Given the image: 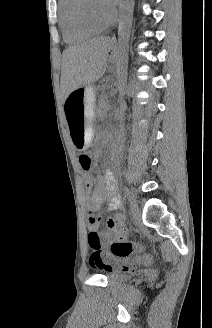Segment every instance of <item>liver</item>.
Segmentation results:
<instances>
[{"label": "liver", "mask_w": 212, "mask_h": 328, "mask_svg": "<svg viewBox=\"0 0 212 328\" xmlns=\"http://www.w3.org/2000/svg\"><path fill=\"white\" fill-rule=\"evenodd\" d=\"M110 45V39L99 37L65 50L61 74L64 100L75 89L91 85L102 78Z\"/></svg>", "instance_id": "6515ba94"}]
</instances>
